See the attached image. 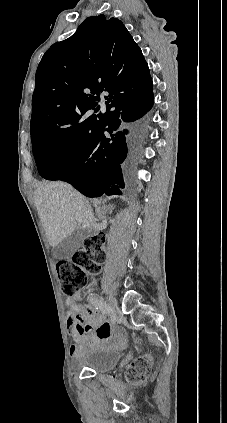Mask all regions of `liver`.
Here are the masks:
<instances>
[{"mask_svg": "<svg viewBox=\"0 0 227 423\" xmlns=\"http://www.w3.org/2000/svg\"><path fill=\"white\" fill-rule=\"evenodd\" d=\"M34 202L50 245H58L73 233L77 223L84 229L97 227L98 219L86 198L64 182H43L34 192Z\"/></svg>", "mask_w": 227, "mask_h": 423, "instance_id": "obj_1", "label": "liver"}]
</instances>
